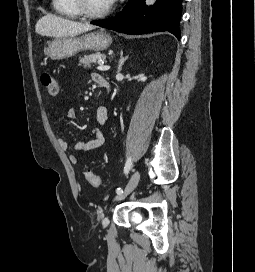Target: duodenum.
Wrapping results in <instances>:
<instances>
[{"label":"duodenum","mask_w":255,"mask_h":272,"mask_svg":"<svg viewBox=\"0 0 255 272\" xmlns=\"http://www.w3.org/2000/svg\"><path fill=\"white\" fill-rule=\"evenodd\" d=\"M99 86H101L102 88L109 90V82L106 78H101L98 81Z\"/></svg>","instance_id":"1"}]
</instances>
